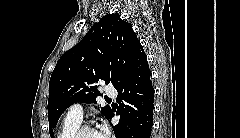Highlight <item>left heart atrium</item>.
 Returning a JSON list of instances; mask_svg holds the SVG:
<instances>
[{
    "label": "left heart atrium",
    "instance_id": "left-heart-atrium-1",
    "mask_svg": "<svg viewBox=\"0 0 240 138\" xmlns=\"http://www.w3.org/2000/svg\"><path fill=\"white\" fill-rule=\"evenodd\" d=\"M97 134H98V137L99 138H105L108 134V131L105 127H99L97 130H96Z\"/></svg>",
    "mask_w": 240,
    "mask_h": 138
}]
</instances>
